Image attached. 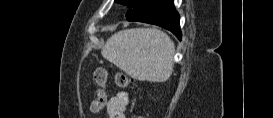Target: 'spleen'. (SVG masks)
<instances>
[{"label": "spleen", "mask_w": 273, "mask_h": 118, "mask_svg": "<svg viewBox=\"0 0 273 118\" xmlns=\"http://www.w3.org/2000/svg\"><path fill=\"white\" fill-rule=\"evenodd\" d=\"M175 46L157 29L134 28L111 36L101 54L109 62L139 81L164 82L173 72Z\"/></svg>", "instance_id": "spleen-1"}]
</instances>
